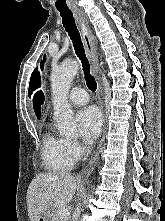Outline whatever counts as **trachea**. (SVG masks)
<instances>
[{
	"mask_svg": "<svg viewBox=\"0 0 165 221\" xmlns=\"http://www.w3.org/2000/svg\"><path fill=\"white\" fill-rule=\"evenodd\" d=\"M59 12L62 17L63 26L73 43L75 53L82 63L84 78H85L87 87L89 88V90L94 92L97 89V83L94 77L90 74V65L85 54V50H84L83 43L80 37V33L75 24L73 13L70 10H59Z\"/></svg>",
	"mask_w": 165,
	"mask_h": 221,
	"instance_id": "trachea-1",
	"label": "trachea"
}]
</instances>
